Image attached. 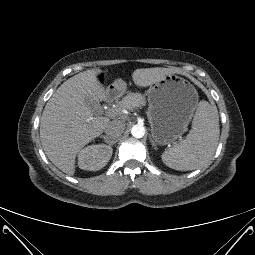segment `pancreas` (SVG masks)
Returning a JSON list of instances; mask_svg holds the SVG:
<instances>
[{
    "label": "pancreas",
    "mask_w": 255,
    "mask_h": 255,
    "mask_svg": "<svg viewBox=\"0 0 255 255\" xmlns=\"http://www.w3.org/2000/svg\"><path fill=\"white\" fill-rule=\"evenodd\" d=\"M146 103L145 97L140 93H129L120 103L119 108H131L136 106H144Z\"/></svg>",
    "instance_id": "obj_1"
}]
</instances>
